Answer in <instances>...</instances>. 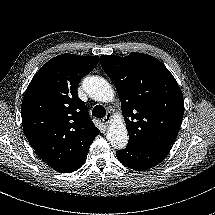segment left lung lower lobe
I'll return each instance as SVG.
<instances>
[{
  "label": "left lung lower lobe",
  "instance_id": "1",
  "mask_svg": "<svg viewBox=\"0 0 215 215\" xmlns=\"http://www.w3.org/2000/svg\"><path fill=\"white\" fill-rule=\"evenodd\" d=\"M171 146L137 147L127 145L124 150L116 152L117 158L134 170H147L159 164L170 152Z\"/></svg>",
  "mask_w": 215,
  "mask_h": 215
}]
</instances>
